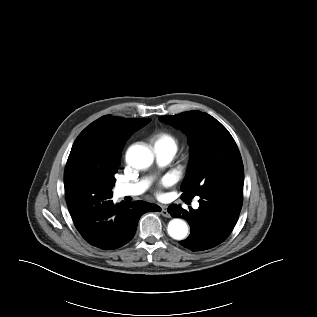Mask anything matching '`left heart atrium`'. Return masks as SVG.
<instances>
[{"instance_id":"39dd6f15","label":"left heart atrium","mask_w":317,"mask_h":317,"mask_svg":"<svg viewBox=\"0 0 317 317\" xmlns=\"http://www.w3.org/2000/svg\"><path fill=\"white\" fill-rule=\"evenodd\" d=\"M172 182H173L172 178L170 176H166L162 180V185L163 186H169V185L172 184Z\"/></svg>"}]
</instances>
